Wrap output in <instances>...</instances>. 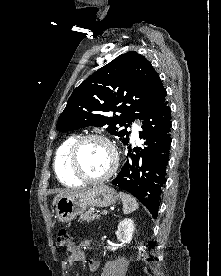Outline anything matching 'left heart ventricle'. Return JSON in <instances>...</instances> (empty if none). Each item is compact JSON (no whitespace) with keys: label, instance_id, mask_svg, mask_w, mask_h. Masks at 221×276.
Segmentation results:
<instances>
[{"label":"left heart ventricle","instance_id":"left-heart-ventricle-1","mask_svg":"<svg viewBox=\"0 0 221 276\" xmlns=\"http://www.w3.org/2000/svg\"><path fill=\"white\" fill-rule=\"evenodd\" d=\"M112 152L102 141L89 140L82 144L78 152L81 170L89 177L104 174L112 164Z\"/></svg>","mask_w":221,"mask_h":276}]
</instances>
